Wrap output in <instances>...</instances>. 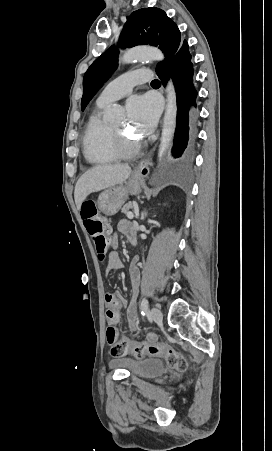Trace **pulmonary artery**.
Instances as JSON below:
<instances>
[{"label":"pulmonary artery","instance_id":"e3ab8cb5","mask_svg":"<svg viewBox=\"0 0 272 451\" xmlns=\"http://www.w3.org/2000/svg\"><path fill=\"white\" fill-rule=\"evenodd\" d=\"M153 77L154 72L145 65L140 66L138 70L130 68L126 74L105 87L99 95L97 103L103 104L126 97L132 92L133 86L149 81Z\"/></svg>","mask_w":272,"mask_h":451}]
</instances>
